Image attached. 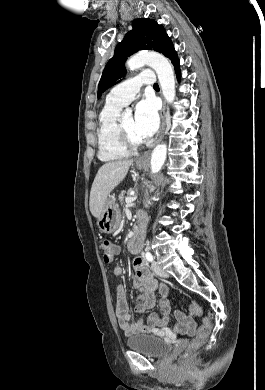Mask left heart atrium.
Listing matches in <instances>:
<instances>
[{"label": "left heart atrium", "instance_id": "left-heart-atrium-1", "mask_svg": "<svg viewBox=\"0 0 265 390\" xmlns=\"http://www.w3.org/2000/svg\"><path fill=\"white\" fill-rule=\"evenodd\" d=\"M159 127V116L155 103L150 99L140 101L135 110L134 128L142 139L151 137Z\"/></svg>", "mask_w": 265, "mask_h": 390}]
</instances>
